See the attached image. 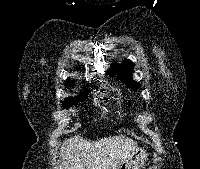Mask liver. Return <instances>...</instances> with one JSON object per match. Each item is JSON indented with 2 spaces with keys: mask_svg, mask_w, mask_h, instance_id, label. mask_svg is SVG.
<instances>
[{
  "mask_svg": "<svg viewBox=\"0 0 200 169\" xmlns=\"http://www.w3.org/2000/svg\"><path fill=\"white\" fill-rule=\"evenodd\" d=\"M138 145L123 136H110L96 141L75 136L60 148L59 169H118Z\"/></svg>",
  "mask_w": 200,
  "mask_h": 169,
  "instance_id": "1",
  "label": "liver"
}]
</instances>
